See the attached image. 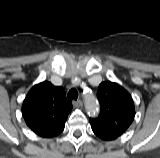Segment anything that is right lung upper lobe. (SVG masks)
Masks as SVG:
<instances>
[{
  "instance_id": "cb5924a9",
  "label": "right lung upper lobe",
  "mask_w": 160,
  "mask_h": 158,
  "mask_svg": "<svg viewBox=\"0 0 160 158\" xmlns=\"http://www.w3.org/2000/svg\"><path fill=\"white\" fill-rule=\"evenodd\" d=\"M72 103L65 90L44 81L31 88L23 105L22 115L27 126L38 136L52 138L65 126Z\"/></svg>"
}]
</instances>
